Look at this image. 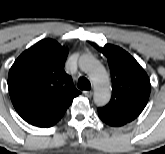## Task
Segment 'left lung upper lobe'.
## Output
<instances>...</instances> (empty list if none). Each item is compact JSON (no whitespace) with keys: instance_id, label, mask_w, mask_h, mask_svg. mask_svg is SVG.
<instances>
[{"instance_id":"5c2ea615","label":"left lung upper lobe","mask_w":165,"mask_h":154,"mask_svg":"<svg viewBox=\"0 0 165 154\" xmlns=\"http://www.w3.org/2000/svg\"><path fill=\"white\" fill-rule=\"evenodd\" d=\"M108 60L112 79V97L108 105L98 108V114L124 123L134 120L145 108L150 95V80L139 63L125 50L95 43Z\"/></svg>"}]
</instances>
